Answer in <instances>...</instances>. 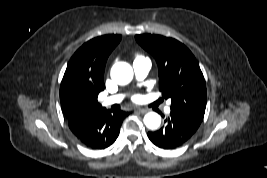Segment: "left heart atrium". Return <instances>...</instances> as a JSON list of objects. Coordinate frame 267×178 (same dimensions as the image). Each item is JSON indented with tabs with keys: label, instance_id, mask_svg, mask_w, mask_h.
<instances>
[{
	"label": "left heart atrium",
	"instance_id": "1",
	"mask_svg": "<svg viewBox=\"0 0 267 178\" xmlns=\"http://www.w3.org/2000/svg\"><path fill=\"white\" fill-rule=\"evenodd\" d=\"M140 99V96L139 95H135L134 97H133V100L134 101H138Z\"/></svg>",
	"mask_w": 267,
	"mask_h": 178
}]
</instances>
